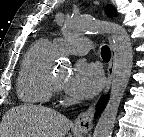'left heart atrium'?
<instances>
[{
    "label": "left heart atrium",
    "mask_w": 144,
    "mask_h": 137,
    "mask_svg": "<svg viewBox=\"0 0 144 137\" xmlns=\"http://www.w3.org/2000/svg\"><path fill=\"white\" fill-rule=\"evenodd\" d=\"M103 75L98 65L80 62L65 82V89L78 99H88L101 88Z\"/></svg>",
    "instance_id": "left-heart-atrium-1"
}]
</instances>
